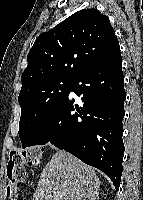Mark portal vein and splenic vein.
I'll list each match as a JSON object with an SVG mask.
<instances>
[{"instance_id":"obj_1","label":"portal vein and splenic vein","mask_w":143,"mask_h":200,"mask_svg":"<svg viewBox=\"0 0 143 200\" xmlns=\"http://www.w3.org/2000/svg\"><path fill=\"white\" fill-rule=\"evenodd\" d=\"M54 196L58 197L60 196L58 193L54 192Z\"/></svg>"}]
</instances>
